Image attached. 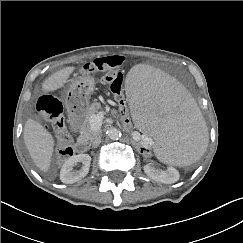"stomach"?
<instances>
[{"mask_svg":"<svg viewBox=\"0 0 243 243\" xmlns=\"http://www.w3.org/2000/svg\"><path fill=\"white\" fill-rule=\"evenodd\" d=\"M95 84V79L89 75L72 81L64 94L65 106L71 119L83 117L86 114Z\"/></svg>","mask_w":243,"mask_h":243,"instance_id":"1","label":"stomach"}]
</instances>
